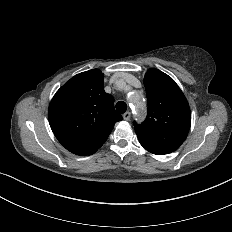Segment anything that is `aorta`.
Masks as SVG:
<instances>
[{
	"mask_svg": "<svg viewBox=\"0 0 232 232\" xmlns=\"http://www.w3.org/2000/svg\"><path fill=\"white\" fill-rule=\"evenodd\" d=\"M130 101L133 103L134 109L138 114L145 109V103L143 102L142 96L139 93H134L130 97Z\"/></svg>",
	"mask_w": 232,
	"mask_h": 232,
	"instance_id": "aorta-1",
	"label": "aorta"
}]
</instances>
